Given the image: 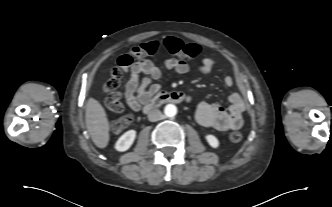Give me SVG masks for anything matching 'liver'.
Masks as SVG:
<instances>
[{
    "label": "liver",
    "instance_id": "1",
    "mask_svg": "<svg viewBox=\"0 0 332 207\" xmlns=\"http://www.w3.org/2000/svg\"><path fill=\"white\" fill-rule=\"evenodd\" d=\"M85 122L94 144L98 148H105L109 142V121L103 106L94 98L87 101Z\"/></svg>",
    "mask_w": 332,
    "mask_h": 207
}]
</instances>
